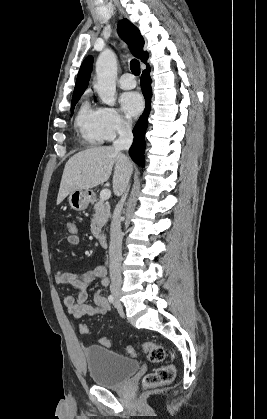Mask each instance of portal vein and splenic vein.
Listing matches in <instances>:
<instances>
[{"label": "portal vein and splenic vein", "mask_w": 267, "mask_h": 419, "mask_svg": "<svg viewBox=\"0 0 267 419\" xmlns=\"http://www.w3.org/2000/svg\"><path fill=\"white\" fill-rule=\"evenodd\" d=\"M110 196H111V191L109 189H103L100 192V198L102 200H108L110 198Z\"/></svg>", "instance_id": "1"}]
</instances>
